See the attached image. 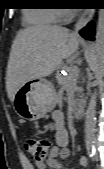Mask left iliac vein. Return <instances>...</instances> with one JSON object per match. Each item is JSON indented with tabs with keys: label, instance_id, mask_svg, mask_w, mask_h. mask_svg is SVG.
<instances>
[{
	"label": "left iliac vein",
	"instance_id": "1",
	"mask_svg": "<svg viewBox=\"0 0 104 169\" xmlns=\"http://www.w3.org/2000/svg\"><path fill=\"white\" fill-rule=\"evenodd\" d=\"M96 161L99 159V156H98V153L95 155V158H94Z\"/></svg>",
	"mask_w": 104,
	"mask_h": 169
}]
</instances>
